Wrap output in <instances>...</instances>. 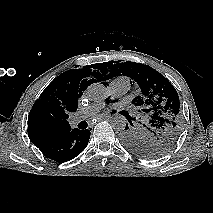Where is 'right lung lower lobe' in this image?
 <instances>
[{"instance_id":"98d812e1","label":"right lung lower lobe","mask_w":213,"mask_h":213,"mask_svg":"<svg viewBox=\"0 0 213 213\" xmlns=\"http://www.w3.org/2000/svg\"><path fill=\"white\" fill-rule=\"evenodd\" d=\"M90 130L77 128L69 133L50 139H38L32 143L44 156L56 162H66L79 155L87 146Z\"/></svg>"}]
</instances>
